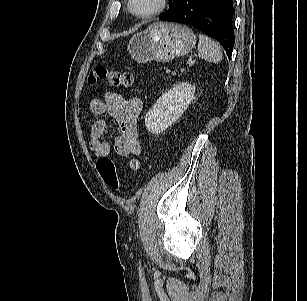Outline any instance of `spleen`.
Wrapping results in <instances>:
<instances>
[{
    "mask_svg": "<svg viewBox=\"0 0 307 301\" xmlns=\"http://www.w3.org/2000/svg\"><path fill=\"white\" fill-rule=\"evenodd\" d=\"M198 54L200 58L209 62L219 63L222 60L219 45L203 34H199Z\"/></svg>",
    "mask_w": 307,
    "mask_h": 301,
    "instance_id": "1",
    "label": "spleen"
}]
</instances>
